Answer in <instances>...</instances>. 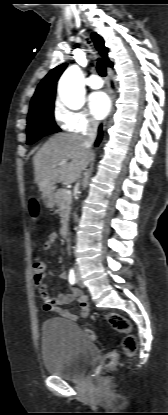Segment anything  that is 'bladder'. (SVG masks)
<instances>
[{"mask_svg": "<svg viewBox=\"0 0 168 415\" xmlns=\"http://www.w3.org/2000/svg\"><path fill=\"white\" fill-rule=\"evenodd\" d=\"M41 350L45 369L68 380L80 378L98 353L78 325L62 318L43 322Z\"/></svg>", "mask_w": 168, "mask_h": 415, "instance_id": "obj_1", "label": "bladder"}]
</instances>
